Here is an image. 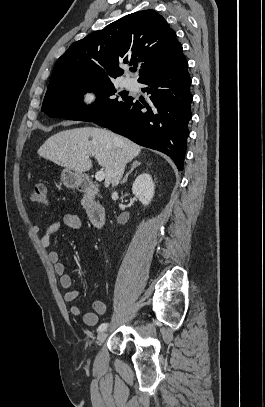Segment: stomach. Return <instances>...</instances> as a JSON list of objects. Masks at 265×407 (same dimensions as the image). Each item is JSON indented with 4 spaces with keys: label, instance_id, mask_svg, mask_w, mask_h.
I'll use <instances>...</instances> for the list:
<instances>
[{
    "label": "stomach",
    "instance_id": "obj_1",
    "mask_svg": "<svg viewBox=\"0 0 265 407\" xmlns=\"http://www.w3.org/2000/svg\"><path fill=\"white\" fill-rule=\"evenodd\" d=\"M84 180L85 175L83 173H79L68 168L63 169L61 172V182L67 188H77L82 185Z\"/></svg>",
    "mask_w": 265,
    "mask_h": 407
}]
</instances>
